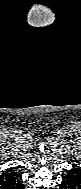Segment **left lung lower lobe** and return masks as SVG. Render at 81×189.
<instances>
[{
	"label": "left lung lower lobe",
	"mask_w": 81,
	"mask_h": 189,
	"mask_svg": "<svg viewBox=\"0 0 81 189\" xmlns=\"http://www.w3.org/2000/svg\"><path fill=\"white\" fill-rule=\"evenodd\" d=\"M63 176L59 189H81V168L76 164Z\"/></svg>",
	"instance_id": "left-lung-lower-lobe-1"
}]
</instances>
